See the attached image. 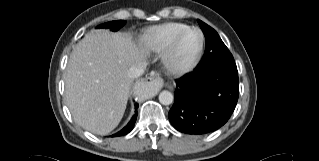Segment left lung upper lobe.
<instances>
[{
    "instance_id": "5c2ea615",
    "label": "left lung upper lobe",
    "mask_w": 319,
    "mask_h": 161,
    "mask_svg": "<svg viewBox=\"0 0 319 161\" xmlns=\"http://www.w3.org/2000/svg\"><path fill=\"white\" fill-rule=\"evenodd\" d=\"M198 23L205 35V53L196 70L223 68L237 71L234 58L218 33L201 20Z\"/></svg>"
}]
</instances>
